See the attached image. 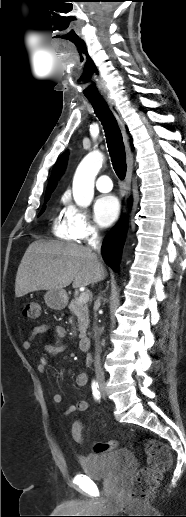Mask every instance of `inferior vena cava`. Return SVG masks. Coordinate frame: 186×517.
Instances as JSON below:
<instances>
[{"label": "inferior vena cava", "mask_w": 186, "mask_h": 517, "mask_svg": "<svg viewBox=\"0 0 186 517\" xmlns=\"http://www.w3.org/2000/svg\"><path fill=\"white\" fill-rule=\"evenodd\" d=\"M101 238L98 234V230L96 229L94 233L92 234V237L88 240V248L91 250L100 252V244ZM96 257L97 255L93 253ZM97 303L99 304V299L97 300ZM96 319V314H95ZM94 338H95V358H94V367H95V374L97 380H104V372L101 366V359H100V353H101V347L99 342V329L96 325V322L94 323Z\"/></svg>", "instance_id": "inferior-vena-cava-1"}]
</instances>
